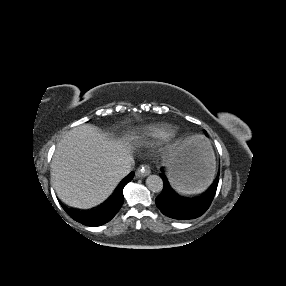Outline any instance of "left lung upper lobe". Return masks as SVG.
Instances as JSON below:
<instances>
[{
    "label": "left lung upper lobe",
    "mask_w": 286,
    "mask_h": 286,
    "mask_svg": "<svg viewBox=\"0 0 286 286\" xmlns=\"http://www.w3.org/2000/svg\"><path fill=\"white\" fill-rule=\"evenodd\" d=\"M206 136H208L207 132L205 131Z\"/></svg>",
    "instance_id": "obj_1"
}]
</instances>
